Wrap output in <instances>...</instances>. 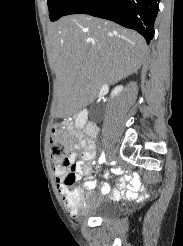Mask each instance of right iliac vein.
<instances>
[{
    "label": "right iliac vein",
    "mask_w": 183,
    "mask_h": 246,
    "mask_svg": "<svg viewBox=\"0 0 183 246\" xmlns=\"http://www.w3.org/2000/svg\"><path fill=\"white\" fill-rule=\"evenodd\" d=\"M111 159V156H110V154L108 155V160H110Z\"/></svg>",
    "instance_id": "63e3f726"
}]
</instances>
